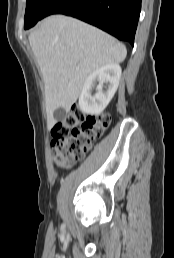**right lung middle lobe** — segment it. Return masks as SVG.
<instances>
[{
	"label": "right lung middle lobe",
	"instance_id": "dd1d6c3e",
	"mask_svg": "<svg viewBox=\"0 0 174 258\" xmlns=\"http://www.w3.org/2000/svg\"><path fill=\"white\" fill-rule=\"evenodd\" d=\"M54 0H27L24 29L33 27L44 16L43 13Z\"/></svg>",
	"mask_w": 174,
	"mask_h": 258
}]
</instances>
